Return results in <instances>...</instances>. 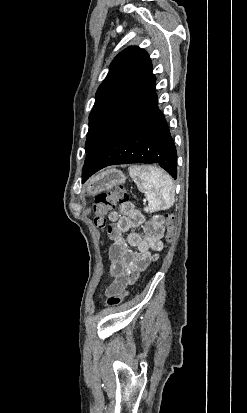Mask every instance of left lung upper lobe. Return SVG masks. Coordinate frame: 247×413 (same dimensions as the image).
<instances>
[{
  "mask_svg": "<svg viewBox=\"0 0 247 413\" xmlns=\"http://www.w3.org/2000/svg\"><path fill=\"white\" fill-rule=\"evenodd\" d=\"M155 81L151 60L144 50L128 47L115 57L89 115L86 153Z\"/></svg>",
  "mask_w": 247,
  "mask_h": 413,
  "instance_id": "obj_1",
  "label": "left lung upper lobe"
}]
</instances>
